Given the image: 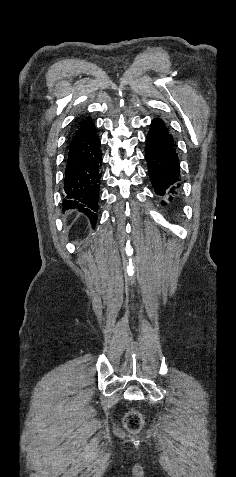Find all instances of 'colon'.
I'll list each match as a JSON object with an SVG mask.
<instances>
[{"label":"colon","mask_w":236,"mask_h":477,"mask_svg":"<svg viewBox=\"0 0 236 477\" xmlns=\"http://www.w3.org/2000/svg\"><path fill=\"white\" fill-rule=\"evenodd\" d=\"M143 424L142 416L136 411H130L126 414L124 419L125 427L131 431L135 432L138 431Z\"/></svg>","instance_id":"1"}]
</instances>
